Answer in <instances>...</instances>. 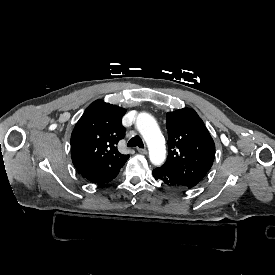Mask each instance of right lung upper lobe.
<instances>
[{
	"label": "right lung upper lobe",
	"instance_id": "cb5924a9",
	"mask_svg": "<svg viewBox=\"0 0 275 275\" xmlns=\"http://www.w3.org/2000/svg\"><path fill=\"white\" fill-rule=\"evenodd\" d=\"M124 108L96 100L91 103L74 127L71 135V157L77 171L84 172L103 167L122 168L129 155L117 149L125 136L121 119Z\"/></svg>",
	"mask_w": 275,
	"mask_h": 275
}]
</instances>
